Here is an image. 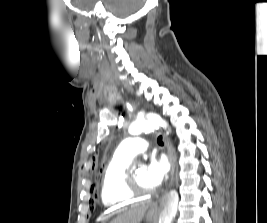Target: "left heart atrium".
I'll return each instance as SVG.
<instances>
[{
  "label": "left heart atrium",
  "mask_w": 267,
  "mask_h": 223,
  "mask_svg": "<svg viewBox=\"0 0 267 223\" xmlns=\"http://www.w3.org/2000/svg\"><path fill=\"white\" fill-rule=\"evenodd\" d=\"M170 164L165 156L151 158L149 164L145 169V179L147 183L153 188H158L165 180Z\"/></svg>",
  "instance_id": "left-heart-atrium-1"
}]
</instances>
